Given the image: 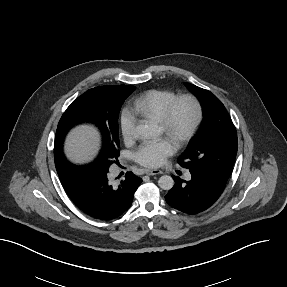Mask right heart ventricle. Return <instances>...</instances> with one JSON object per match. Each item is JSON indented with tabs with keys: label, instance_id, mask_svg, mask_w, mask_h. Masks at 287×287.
I'll return each mask as SVG.
<instances>
[{
	"label": "right heart ventricle",
	"instance_id": "1",
	"mask_svg": "<svg viewBox=\"0 0 287 287\" xmlns=\"http://www.w3.org/2000/svg\"><path fill=\"white\" fill-rule=\"evenodd\" d=\"M176 97L168 90L153 89L137 96L132 101L133 112L142 118L160 121L168 104Z\"/></svg>",
	"mask_w": 287,
	"mask_h": 287
}]
</instances>
